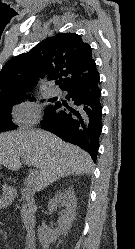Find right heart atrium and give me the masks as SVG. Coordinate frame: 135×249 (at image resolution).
I'll list each match as a JSON object with an SVG mask.
<instances>
[{
    "mask_svg": "<svg viewBox=\"0 0 135 249\" xmlns=\"http://www.w3.org/2000/svg\"><path fill=\"white\" fill-rule=\"evenodd\" d=\"M12 117L19 127L31 128L40 120L41 109L34 101L24 100L13 106Z\"/></svg>",
    "mask_w": 135,
    "mask_h": 249,
    "instance_id": "1",
    "label": "right heart atrium"
}]
</instances>
